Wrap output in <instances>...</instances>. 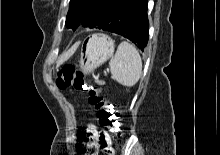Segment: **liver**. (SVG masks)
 <instances>
[{
  "label": "liver",
  "mask_w": 220,
  "mask_h": 155,
  "mask_svg": "<svg viewBox=\"0 0 220 155\" xmlns=\"http://www.w3.org/2000/svg\"><path fill=\"white\" fill-rule=\"evenodd\" d=\"M79 43H77L76 45H74L67 53L63 54L59 61H58V65L62 64L64 61H66L67 59H69L74 52L76 51L77 47H78Z\"/></svg>",
  "instance_id": "1"
}]
</instances>
